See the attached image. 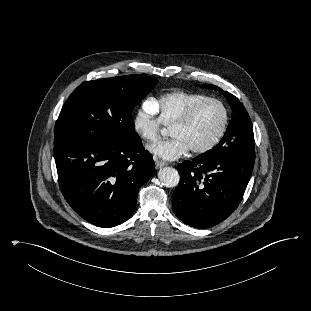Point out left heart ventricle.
Segmentation results:
<instances>
[{
    "label": "left heart ventricle",
    "instance_id": "b2bd125f",
    "mask_svg": "<svg viewBox=\"0 0 311 311\" xmlns=\"http://www.w3.org/2000/svg\"><path fill=\"white\" fill-rule=\"evenodd\" d=\"M222 120V108L217 103L210 102L199 109L189 124L171 127L170 135L182 138L190 149L199 148L214 138L221 127Z\"/></svg>",
    "mask_w": 311,
    "mask_h": 311
}]
</instances>
